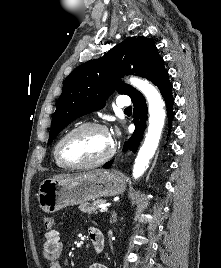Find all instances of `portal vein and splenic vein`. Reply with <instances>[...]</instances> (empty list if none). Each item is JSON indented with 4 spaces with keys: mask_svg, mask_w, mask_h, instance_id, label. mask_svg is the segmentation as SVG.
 Wrapping results in <instances>:
<instances>
[{
    "mask_svg": "<svg viewBox=\"0 0 221 268\" xmlns=\"http://www.w3.org/2000/svg\"><path fill=\"white\" fill-rule=\"evenodd\" d=\"M99 208H100V212L102 213V212H107L108 211V208L105 206V205H100L99 206Z\"/></svg>",
    "mask_w": 221,
    "mask_h": 268,
    "instance_id": "obj_1",
    "label": "portal vein and splenic vein"
}]
</instances>
